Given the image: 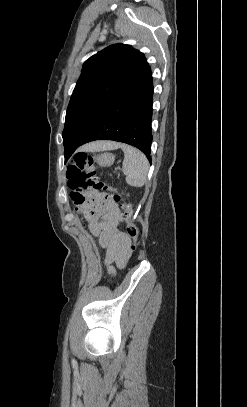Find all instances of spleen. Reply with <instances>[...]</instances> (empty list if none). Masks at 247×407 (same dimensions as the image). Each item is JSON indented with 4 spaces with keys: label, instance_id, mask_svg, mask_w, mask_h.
<instances>
[{
    "label": "spleen",
    "instance_id": "1",
    "mask_svg": "<svg viewBox=\"0 0 247 407\" xmlns=\"http://www.w3.org/2000/svg\"><path fill=\"white\" fill-rule=\"evenodd\" d=\"M124 152L123 172L126 183L134 187H142L147 181L149 162L146 156L138 149L122 144Z\"/></svg>",
    "mask_w": 247,
    "mask_h": 407
}]
</instances>
